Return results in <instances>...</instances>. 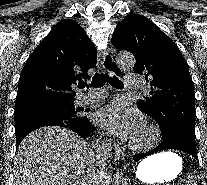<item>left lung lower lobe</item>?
I'll list each match as a JSON object with an SVG mask.
<instances>
[{
    "label": "left lung lower lobe",
    "instance_id": "1",
    "mask_svg": "<svg viewBox=\"0 0 207 185\" xmlns=\"http://www.w3.org/2000/svg\"><path fill=\"white\" fill-rule=\"evenodd\" d=\"M168 149L186 152L197 159L196 145L179 131L170 132L166 137H162V142L156 148L146 153L135 154L133 159L137 162L146 156Z\"/></svg>",
    "mask_w": 207,
    "mask_h": 185
}]
</instances>
